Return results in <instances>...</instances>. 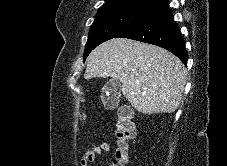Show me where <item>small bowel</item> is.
Instances as JSON below:
<instances>
[{"instance_id": "small-bowel-1", "label": "small bowel", "mask_w": 227, "mask_h": 166, "mask_svg": "<svg viewBox=\"0 0 227 166\" xmlns=\"http://www.w3.org/2000/svg\"><path fill=\"white\" fill-rule=\"evenodd\" d=\"M110 149L111 146L108 142H103L101 144H92L85 151L81 160V166H87L88 163L100 166V164L98 163V157L103 153L109 152Z\"/></svg>"}]
</instances>
